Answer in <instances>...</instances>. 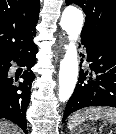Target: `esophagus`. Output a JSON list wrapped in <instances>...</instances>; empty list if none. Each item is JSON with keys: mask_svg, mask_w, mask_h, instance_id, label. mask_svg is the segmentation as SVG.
I'll use <instances>...</instances> for the list:
<instances>
[{"mask_svg": "<svg viewBox=\"0 0 116 134\" xmlns=\"http://www.w3.org/2000/svg\"><path fill=\"white\" fill-rule=\"evenodd\" d=\"M64 42H65L64 37L60 36V40H59V51L60 52H62Z\"/></svg>", "mask_w": 116, "mask_h": 134, "instance_id": "1", "label": "esophagus"}]
</instances>
